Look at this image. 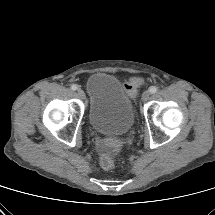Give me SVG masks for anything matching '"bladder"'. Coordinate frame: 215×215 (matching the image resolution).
Instances as JSON below:
<instances>
[{"mask_svg":"<svg viewBox=\"0 0 215 215\" xmlns=\"http://www.w3.org/2000/svg\"><path fill=\"white\" fill-rule=\"evenodd\" d=\"M88 119L92 128L106 135H124L132 128L135 109L131 97L113 75L98 72L87 81Z\"/></svg>","mask_w":215,"mask_h":215,"instance_id":"bladder-1","label":"bladder"}]
</instances>
